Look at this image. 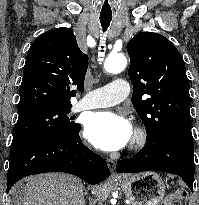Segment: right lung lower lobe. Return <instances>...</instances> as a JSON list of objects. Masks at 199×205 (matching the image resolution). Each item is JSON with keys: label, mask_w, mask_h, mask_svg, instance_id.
<instances>
[{"label": "right lung lower lobe", "mask_w": 199, "mask_h": 205, "mask_svg": "<svg viewBox=\"0 0 199 205\" xmlns=\"http://www.w3.org/2000/svg\"><path fill=\"white\" fill-rule=\"evenodd\" d=\"M79 131L46 137L11 149L7 192L21 178L44 172L70 173L89 184L103 181L110 173L107 163L82 144Z\"/></svg>", "instance_id": "98d812e1"}]
</instances>
